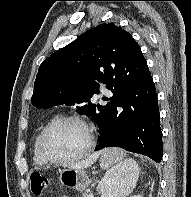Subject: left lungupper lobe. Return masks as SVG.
<instances>
[{"mask_svg":"<svg viewBox=\"0 0 191 197\" xmlns=\"http://www.w3.org/2000/svg\"><path fill=\"white\" fill-rule=\"evenodd\" d=\"M145 67L146 60L130 33L114 23L100 24L42 62L31 102L44 109L79 104L77 111L94 119L103 107L91 102L99 83L113 89L125 71Z\"/></svg>","mask_w":191,"mask_h":197,"instance_id":"obj_1","label":"left lung upper lobe"}]
</instances>
